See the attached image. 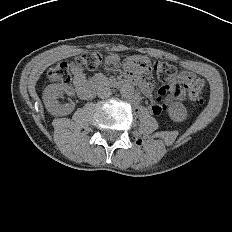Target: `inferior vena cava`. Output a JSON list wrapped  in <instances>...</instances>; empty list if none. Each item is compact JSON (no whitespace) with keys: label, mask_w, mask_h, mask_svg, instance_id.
<instances>
[{"label":"inferior vena cava","mask_w":232,"mask_h":232,"mask_svg":"<svg viewBox=\"0 0 232 232\" xmlns=\"http://www.w3.org/2000/svg\"><path fill=\"white\" fill-rule=\"evenodd\" d=\"M112 94L111 89L105 86H100L97 89V95L99 98H108Z\"/></svg>","instance_id":"obj_1"}]
</instances>
